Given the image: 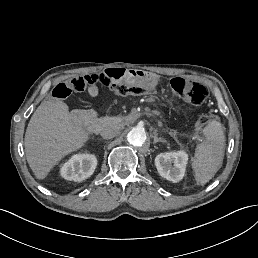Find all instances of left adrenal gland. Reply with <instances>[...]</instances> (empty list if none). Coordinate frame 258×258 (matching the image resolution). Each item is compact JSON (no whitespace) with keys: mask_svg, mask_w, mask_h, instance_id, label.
<instances>
[{"mask_svg":"<svg viewBox=\"0 0 258 258\" xmlns=\"http://www.w3.org/2000/svg\"><path fill=\"white\" fill-rule=\"evenodd\" d=\"M153 139H154V141H153L154 144H156L158 142H163V143L166 142L165 139H162L161 137H157V135H154Z\"/></svg>","mask_w":258,"mask_h":258,"instance_id":"1","label":"left adrenal gland"}]
</instances>
